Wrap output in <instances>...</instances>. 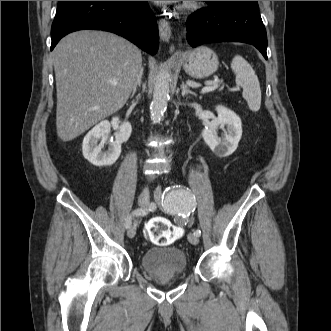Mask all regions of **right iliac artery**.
Listing matches in <instances>:
<instances>
[{
    "instance_id": "obj_1",
    "label": "right iliac artery",
    "mask_w": 331,
    "mask_h": 331,
    "mask_svg": "<svg viewBox=\"0 0 331 331\" xmlns=\"http://www.w3.org/2000/svg\"><path fill=\"white\" fill-rule=\"evenodd\" d=\"M148 213L147 209H136L134 210L129 216H127L126 221H125V226L127 229H129L132 225V216L136 215H146Z\"/></svg>"
}]
</instances>
